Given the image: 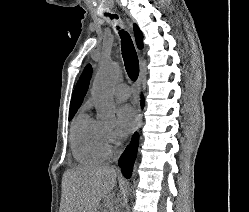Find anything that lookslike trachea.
<instances>
[{
	"label": "trachea",
	"instance_id": "obj_1",
	"mask_svg": "<svg viewBox=\"0 0 249 212\" xmlns=\"http://www.w3.org/2000/svg\"><path fill=\"white\" fill-rule=\"evenodd\" d=\"M107 15V14H106ZM111 18H118L117 15H111ZM122 56L126 67L127 74L131 80L135 82L139 75V62L134 45L130 35L124 30L120 32Z\"/></svg>",
	"mask_w": 249,
	"mask_h": 212
}]
</instances>
